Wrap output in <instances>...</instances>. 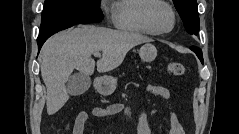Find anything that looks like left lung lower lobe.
I'll use <instances>...</instances> for the list:
<instances>
[{
	"instance_id": "0a47b994",
	"label": "left lung lower lobe",
	"mask_w": 239,
	"mask_h": 134,
	"mask_svg": "<svg viewBox=\"0 0 239 134\" xmlns=\"http://www.w3.org/2000/svg\"><path fill=\"white\" fill-rule=\"evenodd\" d=\"M191 50L196 53V55L198 56L199 59L202 58V51L198 47L193 46V47H191Z\"/></svg>"
}]
</instances>
